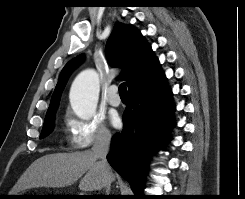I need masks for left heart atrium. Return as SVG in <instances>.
Segmentation results:
<instances>
[{"label": "left heart atrium", "instance_id": "left-heart-atrium-1", "mask_svg": "<svg viewBox=\"0 0 245 199\" xmlns=\"http://www.w3.org/2000/svg\"><path fill=\"white\" fill-rule=\"evenodd\" d=\"M110 120L113 126H118L120 123V119L118 115H115V114L111 116Z\"/></svg>", "mask_w": 245, "mask_h": 199}]
</instances>
